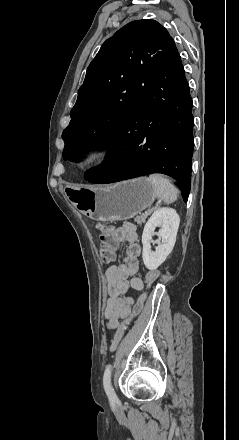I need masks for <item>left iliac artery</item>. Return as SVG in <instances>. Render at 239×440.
Masks as SVG:
<instances>
[{"instance_id":"44dca946","label":"left iliac artery","mask_w":239,"mask_h":440,"mask_svg":"<svg viewBox=\"0 0 239 440\" xmlns=\"http://www.w3.org/2000/svg\"><path fill=\"white\" fill-rule=\"evenodd\" d=\"M111 373H112V366L108 365L105 369L103 376V386L110 402L114 403L117 401V396L111 384Z\"/></svg>"}]
</instances>
